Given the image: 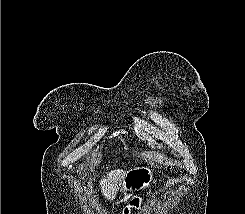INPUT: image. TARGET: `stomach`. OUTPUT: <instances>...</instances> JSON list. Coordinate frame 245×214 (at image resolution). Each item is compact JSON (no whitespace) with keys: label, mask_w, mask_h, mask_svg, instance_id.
<instances>
[{"label":"stomach","mask_w":245,"mask_h":214,"mask_svg":"<svg viewBox=\"0 0 245 214\" xmlns=\"http://www.w3.org/2000/svg\"><path fill=\"white\" fill-rule=\"evenodd\" d=\"M152 171L147 167H135L130 169L123 180L121 191H140L150 187L154 183Z\"/></svg>","instance_id":"0dacf381"}]
</instances>
